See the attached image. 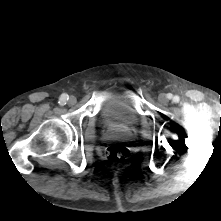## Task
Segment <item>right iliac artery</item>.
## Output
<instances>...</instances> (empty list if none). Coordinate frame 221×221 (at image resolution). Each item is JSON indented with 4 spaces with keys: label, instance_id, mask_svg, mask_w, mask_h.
Wrapping results in <instances>:
<instances>
[{
    "label": "right iliac artery",
    "instance_id": "1",
    "mask_svg": "<svg viewBox=\"0 0 221 221\" xmlns=\"http://www.w3.org/2000/svg\"><path fill=\"white\" fill-rule=\"evenodd\" d=\"M69 96L67 94H62L60 99H59V104L61 106L65 105L66 104V101L68 100Z\"/></svg>",
    "mask_w": 221,
    "mask_h": 221
}]
</instances>
